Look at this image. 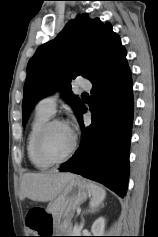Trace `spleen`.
I'll use <instances>...</instances> for the list:
<instances>
[{"mask_svg": "<svg viewBox=\"0 0 158 237\" xmlns=\"http://www.w3.org/2000/svg\"><path fill=\"white\" fill-rule=\"evenodd\" d=\"M89 188H90V192L92 194V199L90 201V208H91L92 212H94L95 209L105 199L106 191L102 187H100L97 184L92 183V182L89 183Z\"/></svg>", "mask_w": 158, "mask_h": 237, "instance_id": "3e777b00", "label": "spleen"}]
</instances>
